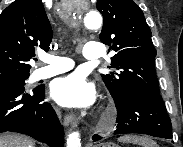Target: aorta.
I'll return each instance as SVG.
<instances>
[{"label": "aorta", "instance_id": "obj_1", "mask_svg": "<svg viewBox=\"0 0 183 147\" xmlns=\"http://www.w3.org/2000/svg\"><path fill=\"white\" fill-rule=\"evenodd\" d=\"M84 26L87 29H98L102 25V16L98 12H89L83 18ZM67 147H81L78 132H72L67 138Z\"/></svg>", "mask_w": 183, "mask_h": 147}]
</instances>
